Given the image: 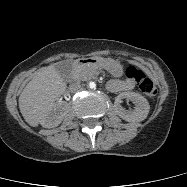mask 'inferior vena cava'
Segmentation results:
<instances>
[{
    "mask_svg": "<svg viewBox=\"0 0 187 187\" xmlns=\"http://www.w3.org/2000/svg\"><path fill=\"white\" fill-rule=\"evenodd\" d=\"M81 90V85L79 82L71 83L69 85V91L71 93L79 92Z\"/></svg>",
    "mask_w": 187,
    "mask_h": 187,
    "instance_id": "inferior-vena-cava-1",
    "label": "inferior vena cava"
}]
</instances>
